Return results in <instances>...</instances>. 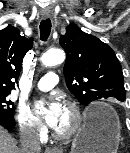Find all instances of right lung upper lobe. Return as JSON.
<instances>
[{
    "label": "right lung upper lobe",
    "mask_w": 130,
    "mask_h": 153,
    "mask_svg": "<svg viewBox=\"0 0 130 153\" xmlns=\"http://www.w3.org/2000/svg\"><path fill=\"white\" fill-rule=\"evenodd\" d=\"M33 40L20 35L19 29L9 26L0 31V93H11L17 83L25 54Z\"/></svg>",
    "instance_id": "obj_1"
}]
</instances>
